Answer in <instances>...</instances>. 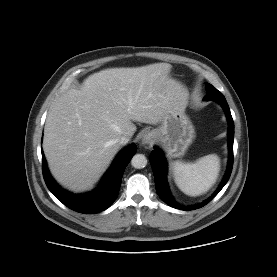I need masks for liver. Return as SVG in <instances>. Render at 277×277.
<instances>
[{"label": "liver", "mask_w": 277, "mask_h": 277, "mask_svg": "<svg viewBox=\"0 0 277 277\" xmlns=\"http://www.w3.org/2000/svg\"><path fill=\"white\" fill-rule=\"evenodd\" d=\"M172 66L155 63L111 68L90 75L80 90L70 89L52 105L45 124L43 150L54 178L72 191L89 189L136 126L161 122L188 92L170 78Z\"/></svg>", "instance_id": "1"}]
</instances>
